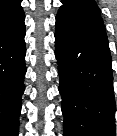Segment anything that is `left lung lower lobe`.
<instances>
[{
	"label": "left lung lower lobe",
	"mask_w": 117,
	"mask_h": 136,
	"mask_svg": "<svg viewBox=\"0 0 117 136\" xmlns=\"http://www.w3.org/2000/svg\"><path fill=\"white\" fill-rule=\"evenodd\" d=\"M55 56L64 135L115 136L116 104L104 26L57 14Z\"/></svg>",
	"instance_id": "left-lung-lower-lobe-1"
}]
</instances>
